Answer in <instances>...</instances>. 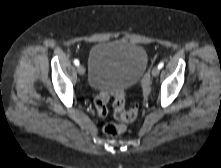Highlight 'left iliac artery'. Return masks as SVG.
<instances>
[{
	"mask_svg": "<svg viewBox=\"0 0 221 168\" xmlns=\"http://www.w3.org/2000/svg\"><path fill=\"white\" fill-rule=\"evenodd\" d=\"M163 66H164V63H163V62H160V63L158 64V68H159V69H161Z\"/></svg>",
	"mask_w": 221,
	"mask_h": 168,
	"instance_id": "obj_1",
	"label": "left iliac artery"
}]
</instances>
